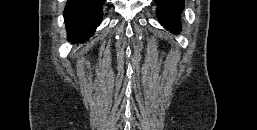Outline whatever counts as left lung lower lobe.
<instances>
[{"label":"left lung lower lobe","mask_w":257,"mask_h":130,"mask_svg":"<svg viewBox=\"0 0 257 130\" xmlns=\"http://www.w3.org/2000/svg\"><path fill=\"white\" fill-rule=\"evenodd\" d=\"M157 16L161 24L172 32L180 30V14L184 8L183 0H155Z\"/></svg>","instance_id":"1"}]
</instances>
